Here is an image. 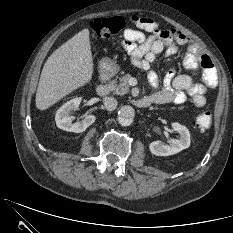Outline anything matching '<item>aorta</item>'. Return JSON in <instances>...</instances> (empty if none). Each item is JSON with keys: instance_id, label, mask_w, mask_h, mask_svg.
I'll use <instances>...</instances> for the list:
<instances>
[{"instance_id": "obj_1", "label": "aorta", "mask_w": 233, "mask_h": 233, "mask_svg": "<svg viewBox=\"0 0 233 233\" xmlns=\"http://www.w3.org/2000/svg\"><path fill=\"white\" fill-rule=\"evenodd\" d=\"M134 116L135 110L132 106H122L118 112V122L122 126H129L132 124Z\"/></svg>"}]
</instances>
